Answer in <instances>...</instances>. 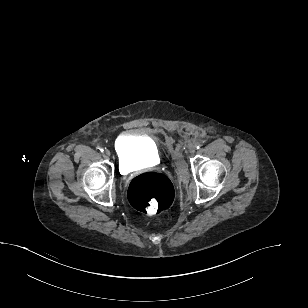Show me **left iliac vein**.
<instances>
[{
	"label": "left iliac vein",
	"mask_w": 308,
	"mask_h": 308,
	"mask_svg": "<svg viewBox=\"0 0 308 308\" xmlns=\"http://www.w3.org/2000/svg\"><path fill=\"white\" fill-rule=\"evenodd\" d=\"M195 150H196V146H195L194 144H192V143H189V144H188V151H189L190 153H194Z\"/></svg>",
	"instance_id": "4c4485c4"
}]
</instances>
